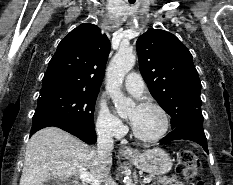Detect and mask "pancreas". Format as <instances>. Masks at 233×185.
Here are the masks:
<instances>
[{
  "mask_svg": "<svg viewBox=\"0 0 233 185\" xmlns=\"http://www.w3.org/2000/svg\"><path fill=\"white\" fill-rule=\"evenodd\" d=\"M150 178L156 180L153 185H175L174 182L177 181V177L176 176H171V177H167V176H159V177H155V176H149Z\"/></svg>",
  "mask_w": 233,
  "mask_h": 185,
  "instance_id": "obj_1",
  "label": "pancreas"
}]
</instances>
